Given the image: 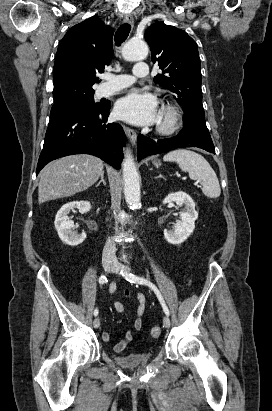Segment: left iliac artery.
Returning a JSON list of instances; mask_svg holds the SVG:
<instances>
[{
    "instance_id": "left-iliac-artery-1",
    "label": "left iliac artery",
    "mask_w": 272,
    "mask_h": 411,
    "mask_svg": "<svg viewBox=\"0 0 272 411\" xmlns=\"http://www.w3.org/2000/svg\"><path fill=\"white\" fill-rule=\"evenodd\" d=\"M121 274L126 278L127 281H129L131 283H138V284H141V285L149 286L155 292L158 300L160 301V304L162 305V308H163L165 314L167 316H169V314H170L169 309L166 306L165 301H164L160 291L158 290V288L152 282H150L149 280H147L143 277L136 276L132 273H127V272L121 271Z\"/></svg>"
}]
</instances>
